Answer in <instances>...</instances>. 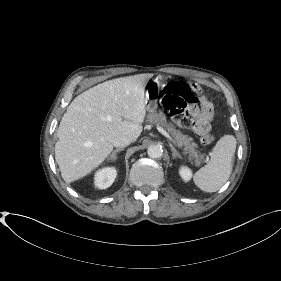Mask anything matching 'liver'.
<instances>
[{
  "label": "liver",
  "instance_id": "1",
  "mask_svg": "<svg viewBox=\"0 0 281 281\" xmlns=\"http://www.w3.org/2000/svg\"><path fill=\"white\" fill-rule=\"evenodd\" d=\"M146 74L112 79L78 95L57 130L55 159L66 183L97 168L113 150V140L140 136L146 116Z\"/></svg>",
  "mask_w": 281,
  "mask_h": 281
}]
</instances>
